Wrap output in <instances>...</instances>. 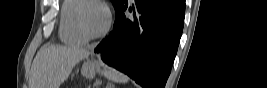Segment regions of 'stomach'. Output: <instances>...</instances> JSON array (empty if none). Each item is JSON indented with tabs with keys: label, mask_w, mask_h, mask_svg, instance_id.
<instances>
[{
	"label": "stomach",
	"mask_w": 267,
	"mask_h": 88,
	"mask_svg": "<svg viewBox=\"0 0 267 88\" xmlns=\"http://www.w3.org/2000/svg\"><path fill=\"white\" fill-rule=\"evenodd\" d=\"M99 71V66L96 61L87 60L81 69V73L86 78H93L95 77L96 73Z\"/></svg>",
	"instance_id": "obj_1"
}]
</instances>
